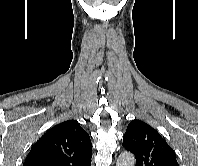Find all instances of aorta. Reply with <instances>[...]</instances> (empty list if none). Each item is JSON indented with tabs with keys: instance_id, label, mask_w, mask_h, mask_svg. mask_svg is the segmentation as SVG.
<instances>
[{
	"instance_id": "1",
	"label": "aorta",
	"mask_w": 198,
	"mask_h": 166,
	"mask_svg": "<svg viewBox=\"0 0 198 166\" xmlns=\"http://www.w3.org/2000/svg\"><path fill=\"white\" fill-rule=\"evenodd\" d=\"M116 166H135L134 155L128 151H124L120 154Z\"/></svg>"
}]
</instances>
